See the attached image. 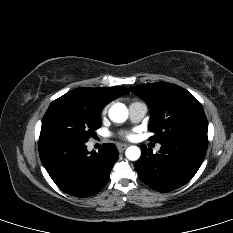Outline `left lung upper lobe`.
Returning a JSON list of instances; mask_svg holds the SVG:
<instances>
[{"label":"left lung upper lobe","instance_id":"5c2ea615","mask_svg":"<svg viewBox=\"0 0 233 233\" xmlns=\"http://www.w3.org/2000/svg\"><path fill=\"white\" fill-rule=\"evenodd\" d=\"M147 103L150 112L149 130L160 144L183 140H207L208 123L200 102L184 88L156 82L130 87Z\"/></svg>","mask_w":233,"mask_h":233}]
</instances>
